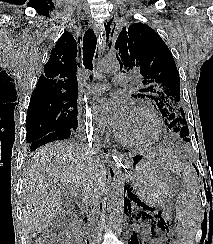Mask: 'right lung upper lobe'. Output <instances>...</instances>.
Returning <instances> with one entry per match:
<instances>
[{"label": "right lung upper lobe", "mask_w": 213, "mask_h": 244, "mask_svg": "<svg viewBox=\"0 0 213 244\" xmlns=\"http://www.w3.org/2000/svg\"><path fill=\"white\" fill-rule=\"evenodd\" d=\"M77 43L72 34L64 32L51 51L31 98L43 96H76L78 94ZM79 65V63H78Z\"/></svg>", "instance_id": "obj_1"}]
</instances>
